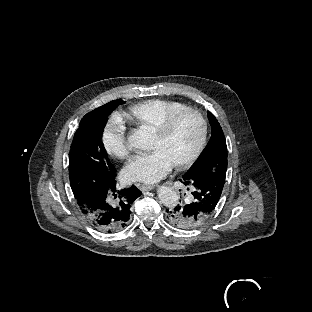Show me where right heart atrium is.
Listing matches in <instances>:
<instances>
[{"mask_svg":"<svg viewBox=\"0 0 312 312\" xmlns=\"http://www.w3.org/2000/svg\"><path fill=\"white\" fill-rule=\"evenodd\" d=\"M103 140L107 143L105 155L113 162H120L126 156L129 144V131L115 117H108L103 122Z\"/></svg>","mask_w":312,"mask_h":312,"instance_id":"right-heart-atrium-1","label":"right heart atrium"}]
</instances>
